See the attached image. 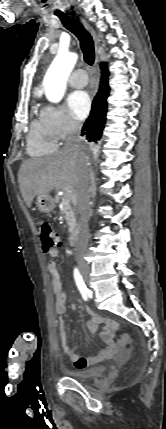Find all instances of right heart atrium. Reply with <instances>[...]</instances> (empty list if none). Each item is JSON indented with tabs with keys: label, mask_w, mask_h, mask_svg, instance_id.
Segmentation results:
<instances>
[{
	"label": "right heart atrium",
	"mask_w": 166,
	"mask_h": 429,
	"mask_svg": "<svg viewBox=\"0 0 166 429\" xmlns=\"http://www.w3.org/2000/svg\"><path fill=\"white\" fill-rule=\"evenodd\" d=\"M40 119L56 140H64L80 129V124L61 106H46L40 114Z\"/></svg>",
	"instance_id": "obj_1"
}]
</instances>
